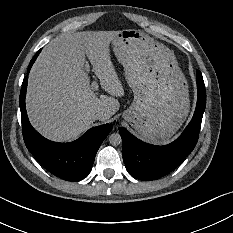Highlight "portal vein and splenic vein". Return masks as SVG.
<instances>
[{
	"instance_id": "18ae733b",
	"label": "portal vein and splenic vein",
	"mask_w": 233,
	"mask_h": 233,
	"mask_svg": "<svg viewBox=\"0 0 233 233\" xmlns=\"http://www.w3.org/2000/svg\"><path fill=\"white\" fill-rule=\"evenodd\" d=\"M91 89L93 90V91H97L98 90V84L94 81V82H92V84H91Z\"/></svg>"
}]
</instances>
